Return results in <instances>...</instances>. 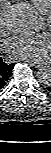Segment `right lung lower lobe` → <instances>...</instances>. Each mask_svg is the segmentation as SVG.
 I'll return each instance as SVG.
<instances>
[{
  "mask_svg": "<svg viewBox=\"0 0 51 153\" xmlns=\"http://www.w3.org/2000/svg\"><path fill=\"white\" fill-rule=\"evenodd\" d=\"M14 65V63L6 64L0 57V89L4 87V85L8 81Z\"/></svg>",
  "mask_w": 51,
  "mask_h": 153,
  "instance_id": "1",
  "label": "right lung lower lobe"
}]
</instances>
